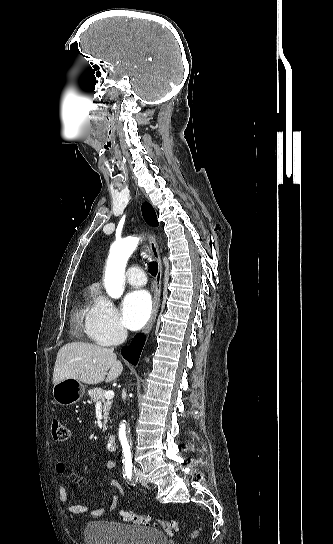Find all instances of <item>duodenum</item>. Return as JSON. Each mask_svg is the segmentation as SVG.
I'll list each match as a JSON object with an SVG mask.
<instances>
[{"instance_id": "duodenum-1", "label": "duodenum", "mask_w": 333, "mask_h": 544, "mask_svg": "<svg viewBox=\"0 0 333 544\" xmlns=\"http://www.w3.org/2000/svg\"><path fill=\"white\" fill-rule=\"evenodd\" d=\"M116 447H117V439H116V436L115 435H111L108 437L107 441H106V449L109 451V452H114L116 450Z\"/></svg>"}]
</instances>
